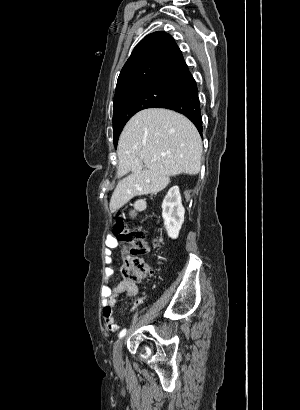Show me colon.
<instances>
[{
  "instance_id": "1",
  "label": "colon",
  "mask_w": 300,
  "mask_h": 410,
  "mask_svg": "<svg viewBox=\"0 0 300 410\" xmlns=\"http://www.w3.org/2000/svg\"><path fill=\"white\" fill-rule=\"evenodd\" d=\"M115 235L129 249V256L121 266V275L126 281L135 282L151 273L150 268L141 259V256L149 250L146 234L141 230L129 229L125 226L121 217L117 218L114 226ZM156 245L157 242L154 241Z\"/></svg>"
}]
</instances>
